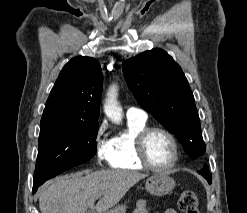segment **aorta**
<instances>
[{"label":"aorta","instance_id":"obj_1","mask_svg":"<svg viewBox=\"0 0 247 213\" xmlns=\"http://www.w3.org/2000/svg\"><path fill=\"white\" fill-rule=\"evenodd\" d=\"M117 97L118 87L114 84L107 92V97L104 103V112L113 123L120 124L123 117V111L117 101Z\"/></svg>","mask_w":247,"mask_h":213}]
</instances>
